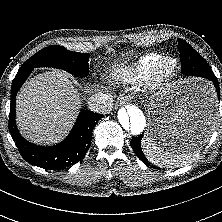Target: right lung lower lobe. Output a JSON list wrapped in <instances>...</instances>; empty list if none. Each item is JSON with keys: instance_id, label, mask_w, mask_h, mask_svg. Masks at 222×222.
<instances>
[{"instance_id": "obj_1", "label": "right lung lower lobe", "mask_w": 222, "mask_h": 222, "mask_svg": "<svg viewBox=\"0 0 222 222\" xmlns=\"http://www.w3.org/2000/svg\"><path fill=\"white\" fill-rule=\"evenodd\" d=\"M33 68H20L11 85L9 131L21 156L30 164L48 170H61L84 158L91 144V134L101 114L85 110L61 143L49 147L37 146L26 141L18 132L15 121V97Z\"/></svg>"}]
</instances>
